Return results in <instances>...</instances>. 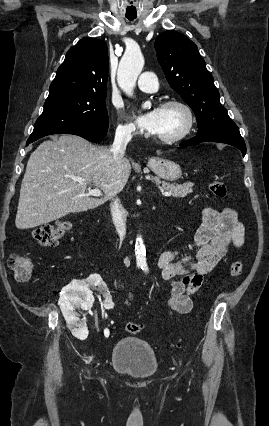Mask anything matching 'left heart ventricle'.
<instances>
[{"label": "left heart ventricle", "instance_id": "obj_1", "mask_svg": "<svg viewBox=\"0 0 269 426\" xmlns=\"http://www.w3.org/2000/svg\"><path fill=\"white\" fill-rule=\"evenodd\" d=\"M186 123L183 110L178 107H161L155 128L150 131L155 136L168 137L178 134Z\"/></svg>", "mask_w": 269, "mask_h": 426}]
</instances>
